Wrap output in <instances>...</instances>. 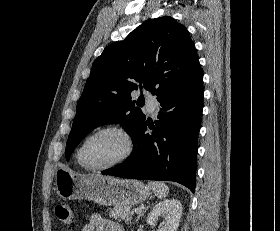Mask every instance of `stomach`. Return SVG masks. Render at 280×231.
Segmentation results:
<instances>
[{
  "instance_id": "1",
  "label": "stomach",
  "mask_w": 280,
  "mask_h": 231,
  "mask_svg": "<svg viewBox=\"0 0 280 231\" xmlns=\"http://www.w3.org/2000/svg\"><path fill=\"white\" fill-rule=\"evenodd\" d=\"M55 187L63 199H90L101 205H134L151 195V189L138 179H118L103 175H83L69 167L55 171Z\"/></svg>"
}]
</instances>
